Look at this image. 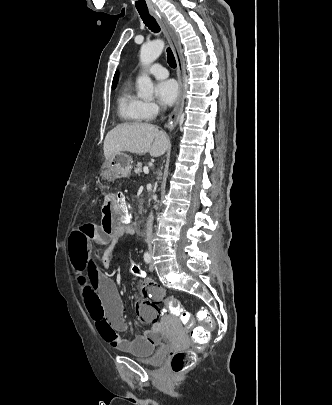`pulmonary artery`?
<instances>
[{
    "mask_svg": "<svg viewBox=\"0 0 332 405\" xmlns=\"http://www.w3.org/2000/svg\"><path fill=\"white\" fill-rule=\"evenodd\" d=\"M147 72L159 79H163L166 78L168 76V71L166 68H164L163 66L159 65V64H154L152 65Z\"/></svg>",
    "mask_w": 332,
    "mask_h": 405,
    "instance_id": "1",
    "label": "pulmonary artery"
}]
</instances>
